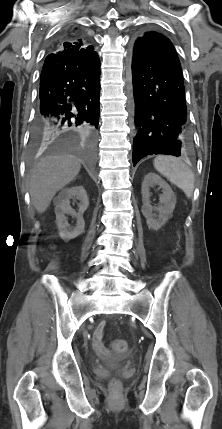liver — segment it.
I'll return each instance as SVG.
<instances>
[{"label": "liver", "mask_w": 222, "mask_h": 429, "mask_svg": "<svg viewBox=\"0 0 222 429\" xmlns=\"http://www.w3.org/2000/svg\"><path fill=\"white\" fill-rule=\"evenodd\" d=\"M81 164L70 154H56L42 158L29 176L31 202L39 213L46 211L56 192L71 182L79 173Z\"/></svg>", "instance_id": "liver-1"}]
</instances>
